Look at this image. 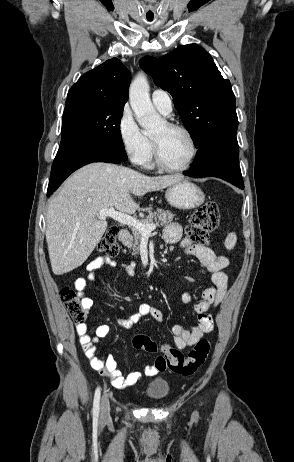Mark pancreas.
I'll return each mask as SVG.
<instances>
[{
    "instance_id": "pancreas-1",
    "label": "pancreas",
    "mask_w": 294,
    "mask_h": 462,
    "mask_svg": "<svg viewBox=\"0 0 294 462\" xmlns=\"http://www.w3.org/2000/svg\"><path fill=\"white\" fill-rule=\"evenodd\" d=\"M174 218V214H172L168 210L158 209L155 212L149 211L146 218L141 219L140 222L143 224H152L156 223V225H166L172 222ZM132 234H129L127 239L125 240V245L132 249L133 255H137L140 248V241L142 238L141 233L136 228H131Z\"/></svg>"
}]
</instances>
